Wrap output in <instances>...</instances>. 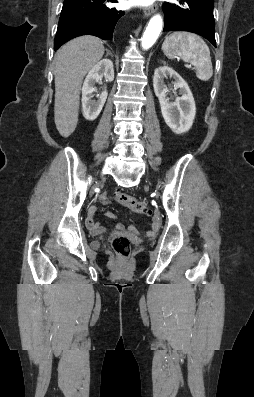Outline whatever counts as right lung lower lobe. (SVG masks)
Listing matches in <instances>:
<instances>
[{"label": "right lung lower lobe", "instance_id": "right-lung-lower-lobe-1", "mask_svg": "<svg viewBox=\"0 0 254 397\" xmlns=\"http://www.w3.org/2000/svg\"><path fill=\"white\" fill-rule=\"evenodd\" d=\"M105 2L117 0H64L54 50L72 38L94 35L103 40H112L124 12L108 8Z\"/></svg>", "mask_w": 254, "mask_h": 397}]
</instances>
